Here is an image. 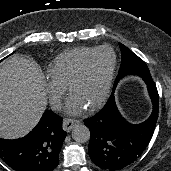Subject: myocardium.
<instances>
[{
  "label": "myocardium",
  "instance_id": "f54148a6",
  "mask_svg": "<svg viewBox=\"0 0 171 171\" xmlns=\"http://www.w3.org/2000/svg\"><path fill=\"white\" fill-rule=\"evenodd\" d=\"M102 50H109L112 55H113V64L111 67V70L109 72L108 78L106 80V84L103 90L102 95L99 97V99L93 103L91 106L88 107L89 110H95L98 107H100L108 98L110 92H111V88H112V84L114 81V77H115V73H116V69H117V54L114 51V49L110 46L107 45H103L100 47H97L89 56H87L85 58V60L81 63V65L78 67V69L76 70V72L74 73V75L72 76V78L70 79V82L68 84V90L71 93V90L73 88V86L81 79V77L84 75L89 63L91 62V60L93 59V57L99 53Z\"/></svg>",
  "mask_w": 171,
  "mask_h": 171
}]
</instances>
